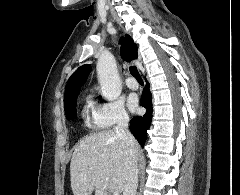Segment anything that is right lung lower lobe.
<instances>
[{"label":"right lung lower lobe","instance_id":"1","mask_svg":"<svg viewBox=\"0 0 240 195\" xmlns=\"http://www.w3.org/2000/svg\"><path fill=\"white\" fill-rule=\"evenodd\" d=\"M140 102L141 105L147 109L146 113L141 117H134L130 121V130L140 145L143 147L147 140V130L150 128L153 112L152 95L149 90L148 82H146V86L143 90Z\"/></svg>","mask_w":240,"mask_h":195}]
</instances>
